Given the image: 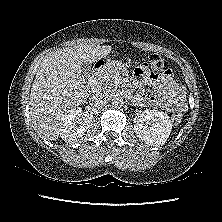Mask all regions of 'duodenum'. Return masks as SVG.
I'll use <instances>...</instances> for the list:
<instances>
[{"label": "duodenum", "instance_id": "410a0bca", "mask_svg": "<svg viewBox=\"0 0 222 222\" xmlns=\"http://www.w3.org/2000/svg\"><path fill=\"white\" fill-rule=\"evenodd\" d=\"M104 75V70L102 69V65L98 66V69L96 70V72L92 75V77L89 80V89L91 92H95L102 77Z\"/></svg>", "mask_w": 222, "mask_h": 222}]
</instances>
